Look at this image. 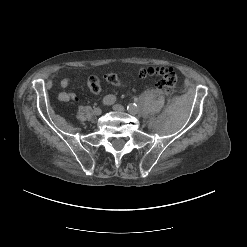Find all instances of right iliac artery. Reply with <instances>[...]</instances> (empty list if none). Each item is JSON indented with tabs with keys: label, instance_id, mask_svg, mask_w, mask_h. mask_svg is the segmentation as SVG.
Returning a JSON list of instances; mask_svg holds the SVG:
<instances>
[{
	"label": "right iliac artery",
	"instance_id": "right-iliac-artery-1",
	"mask_svg": "<svg viewBox=\"0 0 247 247\" xmlns=\"http://www.w3.org/2000/svg\"><path fill=\"white\" fill-rule=\"evenodd\" d=\"M104 105H112L116 102V97L114 95H107L103 98Z\"/></svg>",
	"mask_w": 247,
	"mask_h": 247
}]
</instances>
